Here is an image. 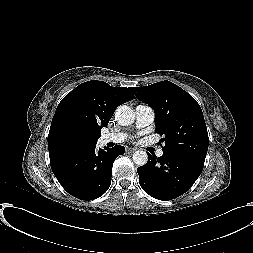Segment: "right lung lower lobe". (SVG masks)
<instances>
[{
    "mask_svg": "<svg viewBox=\"0 0 253 253\" xmlns=\"http://www.w3.org/2000/svg\"><path fill=\"white\" fill-rule=\"evenodd\" d=\"M96 144L50 160L54 175L61 186L81 200H93L102 196L110 187L112 166L125 148L99 149Z\"/></svg>",
    "mask_w": 253,
    "mask_h": 253,
    "instance_id": "1",
    "label": "right lung lower lobe"
}]
</instances>
